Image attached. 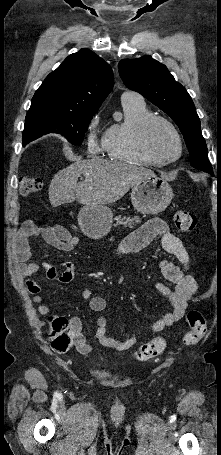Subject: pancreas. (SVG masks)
I'll list each match as a JSON object with an SVG mask.
<instances>
[{
    "label": "pancreas",
    "mask_w": 221,
    "mask_h": 455,
    "mask_svg": "<svg viewBox=\"0 0 221 455\" xmlns=\"http://www.w3.org/2000/svg\"><path fill=\"white\" fill-rule=\"evenodd\" d=\"M140 223H141V218L139 216H134V217L118 216V217H116V225L117 226L122 225L123 228H126V227L134 228V226H136L137 224H140Z\"/></svg>",
    "instance_id": "1"
}]
</instances>
